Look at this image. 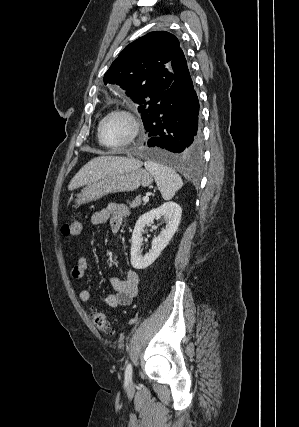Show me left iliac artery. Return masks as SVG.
<instances>
[{
  "instance_id": "left-iliac-artery-1",
  "label": "left iliac artery",
  "mask_w": 299,
  "mask_h": 427,
  "mask_svg": "<svg viewBox=\"0 0 299 427\" xmlns=\"http://www.w3.org/2000/svg\"><path fill=\"white\" fill-rule=\"evenodd\" d=\"M132 378V365L129 363L125 370V379L131 380Z\"/></svg>"
}]
</instances>
